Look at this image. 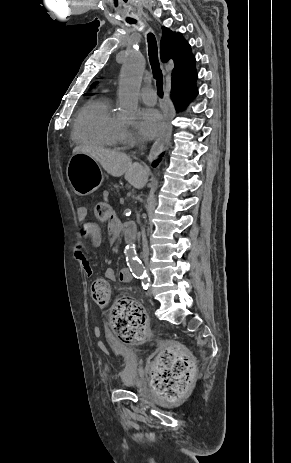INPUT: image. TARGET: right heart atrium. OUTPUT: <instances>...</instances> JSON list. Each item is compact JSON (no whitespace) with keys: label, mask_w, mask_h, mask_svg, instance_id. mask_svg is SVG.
<instances>
[{"label":"right heart atrium","mask_w":291,"mask_h":463,"mask_svg":"<svg viewBox=\"0 0 291 463\" xmlns=\"http://www.w3.org/2000/svg\"><path fill=\"white\" fill-rule=\"evenodd\" d=\"M122 138L127 144H133L135 142V137L128 128H122Z\"/></svg>","instance_id":"obj_1"}]
</instances>
